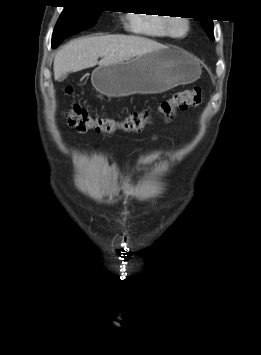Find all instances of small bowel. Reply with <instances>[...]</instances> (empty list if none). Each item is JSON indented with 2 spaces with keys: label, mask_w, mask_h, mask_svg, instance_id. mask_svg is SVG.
Segmentation results:
<instances>
[{
  "label": "small bowel",
  "mask_w": 261,
  "mask_h": 355,
  "mask_svg": "<svg viewBox=\"0 0 261 355\" xmlns=\"http://www.w3.org/2000/svg\"><path fill=\"white\" fill-rule=\"evenodd\" d=\"M151 139H152L153 141H155V140L157 139V136H156V135H152Z\"/></svg>",
  "instance_id": "c3829d8e"
}]
</instances>
